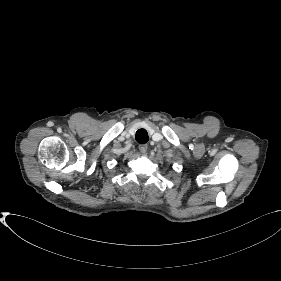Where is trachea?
Masks as SVG:
<instances>
[{
	"label": "trachea",
	"mask_w": 281,
	"mask_h": 281,
	"mask_svg": "<svg viewBox=\"0 0 281 281\" xmlns=\"http://www.w3.org/2000/svg\"><path fill=\"white\" fill-rule=\"evenodd\" d=\"M135 138H136V141L140 144H144V143L148 142V140H149L148 133L145 129L137 130Z\"/></svg>",
	"instance_id": "obj_1"
}]
</instances>
